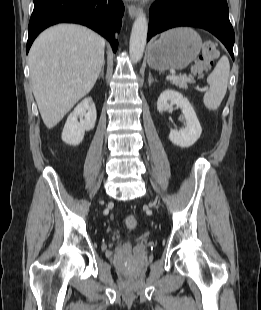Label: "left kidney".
<instances>
[{
	"label": "left kidney",
	"mask_w": 261,
	"mask_h": 310,
	"mask_svg": "<svg viewBox=\"0 0 261 310\" xmlns=\"http://www.w3.org/2000/svg\"><path fill=\"white\" fill-rule=\"evenodd\" d=\"M173 105H177L182 109L186 120V127L180 131L171 130L169 140L179 147H190L200 138L202 133L196 113L188 99L183 97L181 93L171 89L163 91L157 101L159 113H163Z\"/></svg>",
	"instance_id": "obj_1"
}]
</instances>
